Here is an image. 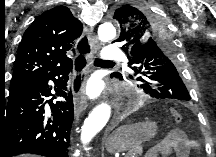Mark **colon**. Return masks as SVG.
<instances>
[{
    "label": "colon",
    "mask_w": 216,
    "mask_h": 157,
    "mask_svg": "<svg viewBox=\"0 0 216 157\" xmlns=\"http://www.w3.org/2000/svg\"><path fill=\"white\" fill-rule=\"evenodd\" d=\"M170 114L175 123H180L183 119L182 114L177 109H172Z\"/></svg>",
    "instance_id": "5ec220e1"
}]
</instances>
